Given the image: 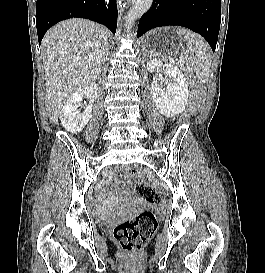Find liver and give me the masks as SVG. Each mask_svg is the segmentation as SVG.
I'll use <instances>...</instances> for the list:
<instances>
[{"label":"liver","instance_id":"6515ba94","mask_svg":"<svg viewBox=\"0 0 265 273\" xmlns=\"http://www.w3.org/2000/svg\"><path fill=\"white\" fill-rule=\"evenodd\" d=\"M108 47L107 30L86 19L59 22L46 33L41 48L51 123H57L71 95L97 79Z\"/></svg>","mask_w":265,"mask_h":273}]
</instances>
